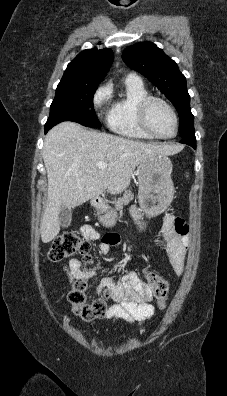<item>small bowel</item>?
Listing matches in <instances>:
<instances>
[{"instance_id": "small-bowel-1", "label": "small bowel", "mask_w": 227, "mask_h": 396, "mask_svg": "<svg viewBox=\"0 0 227 396\" xmlns=\"http://www.w3.org/2000/svg\"><path fill=\"white\" fill-rule=\"evenodd\" d=\"M135 219L140 218L136 208H132ZM84 237L97 239L98 233L91 227L81 229ZM161 239L164 243L170 265L177 275L184 271L186 253L189 247L190 237L188 225L181 218L166 214L161 226ZM117 234H107L101 238L99 251L107 254L111 247L119 242ZM67 274L71 280L84 278L94 286L97 296L109 292L113 295L115 303L107 310V319H118L126 322H144L154 316L155 310L151 304L154 297V288L148 282L137 277L133 271H127L119 281L111 278L99 279L93 270H84L78 259H72L67 268Z\"/></svg>"}]
</instances>
